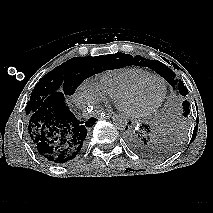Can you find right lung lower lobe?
Instances as JSON below:
<instances>
[{
    "mask_svg": "<svg viewBox=\"0 0 213 213\" xmlns=\"http://www.w3.org/2000/svg\"><path fill=\"white\" fill-rule=\"evenodd\" d=\"M96 121V118L86 122L77 119L66 105L64 94L55 92L26 118V128L40 157L63 164L81 154L88 130Z\"/></svg>",
    "mask_w": 213,
    "mask_h": 213,
    "instance_id": "98d812e1",
    "label": "right lung lower lobe"
}]
</instances>
